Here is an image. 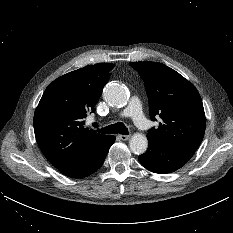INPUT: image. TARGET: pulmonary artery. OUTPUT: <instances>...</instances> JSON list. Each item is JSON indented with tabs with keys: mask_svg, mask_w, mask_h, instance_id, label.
Instances as JSON below:
<instances>
[{
	"mask_svg": "<svg viewBox=\"0 0 233 233\" xmlns=\"http://www.w3.org/2000/svg\"><path fill=\"white\" fill-rule=\"evenodd\" d=\"M122 117H130L135 125L141 129H146L149 125L143 115L141 101L138 97H132L127 108L121 113Z\"/></svg>",
	"mask_w": 233,
	"mask_h": 233,
	"instance_id": "pulmonary-artery-1",
	"label": "pulmonary artery"
}]
</instances>
